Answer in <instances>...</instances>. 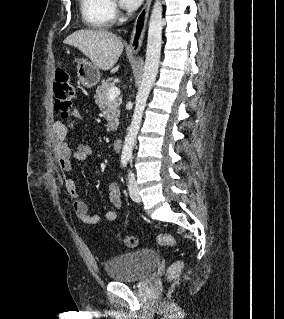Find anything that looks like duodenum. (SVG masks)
Masks as SVG:
<instances>
[{
  "instance_id": "obj_1",
  "label": "duodenum",
  "mask_w": 284,
  "mask_h": 319,
  "mask_svg": "<svg viewBox=\"0 0 284 319\" xmlns=\"http://www.w3.org/2000/svg\"><path fill=\"white\" fill-rule=\"evenodd\" d=\"M123 147V140L121 138H116L114 141H113V148L116 150V151H120Z\"/></svg>"
}]
</instances>
